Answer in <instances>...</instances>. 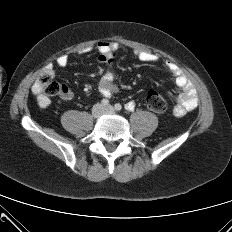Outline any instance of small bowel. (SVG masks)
Wrapping results in <instances>:
<instances>
[{
	"label": "small bowel",
	"mask_w": 232,
	"mask_h": 232,
	"mask_svg": "<svg viewBox=\"0 0 232 232\" xmlns=\"http://www.w3.org/2000/svg\"><path fill=\"white\" fill-rule=\"evenodd\" d=\"M117 49L118 44L115 42L100 41L96 45L86 46L79 51L80 55L87 54L92 50L99 52V61L102 64H106V68L99 76L97 86L100 94L107 98L118 92V86L115 83V71L113 67V59ZM134 56L146 64H157L159 62L157 55L145 50H135ZM56 64L59 67H66L69 64V57L67 55L59 56L56 60ZM164 65L168 72L171 74L175 86L179 90L173 112L177 116L185 115L187 112L195 109L198 105V95L195 86L191 79L177 64L171 61H166ZM63 87L65 93L61 95L62 99L66 101L71 100L73 98V92L68 86L63 85ZM32 92L35 95L36 101L41 108H48L50 106V99L38 87L37 82L32 86ZM129 104L134 105L133 102H129L126 106Z\"/></svg>",
	"instance_id": "small-bowel-1"
}]
</instances>
